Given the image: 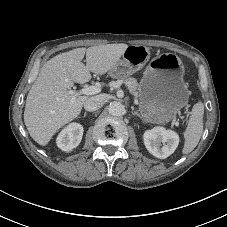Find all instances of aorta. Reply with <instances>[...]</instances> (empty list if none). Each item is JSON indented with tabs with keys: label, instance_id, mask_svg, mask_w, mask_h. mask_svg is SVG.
Returning a JSON list of instances; mask_svg holds the SVG:
<instances>
[{
	"label": "aorta",
	"instance_id": "aorta-1",
	"mask_svg": "<svg viewBox=\"0 0 227 227\" xmlns=\"http://www.w3.org/2000/svg\"><path fill=\"white\" fill-rule=\"evenodd\" d=\"M124 105L120 102L114 101L109 104L108 112L112 116H121L124 114Z\"/></svg>",
	"mask_w": 227,
	"mask_h": 227
}]
</instances>
